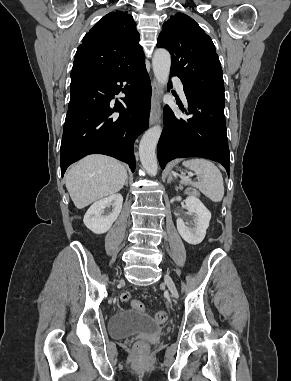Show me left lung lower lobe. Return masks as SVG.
<instances>
[{
	"instance_id": "0a47b994",
	"label": "left lung lower lobe",
	"mask_w": 291,
	"mask_h": 381,
	"mask_svg": "<svg viewBox=\"0 0 291 381\" xmlns=\"http://www.w3.org/2000/svg\"><path fill=\"white\" fill-rule=\"evenodd\" d=\"M183 89L189 108H180L188 117H175L166 108L165 126L158 142L160 166L164 168L175 158L203 157L221 163L229 175L224 94L199 92L186 86Z\"/></svg>"
}]
</instances>
